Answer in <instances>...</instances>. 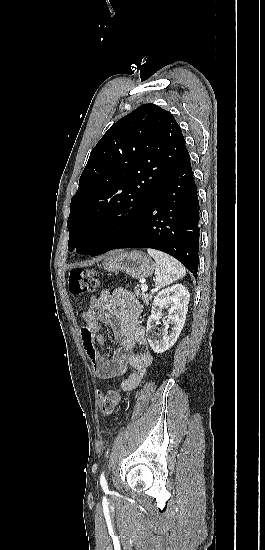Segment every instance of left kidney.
<instances>
[{
    "instance_id": "5707ae66",
    "label": "left kidney",
    "mask_w": 265,
    "mask_h": 550,
    "mask_svg": "<svg viewBox=\"0 0 265 550\" xmlns=\"http://www.w3.org/2000/svg\"><path fill=\"white\" fill-rule=\"evenodd\" d=\"M189 298V291L182 284L167 287L154 298L146 328L148 342L154 352L163 353L177 341L186 320ZM164 308L168 309L167 325L171 324L172 328L169 332L164 331L160 338L157 326Z\"/></svg>"
}]
</instances>
